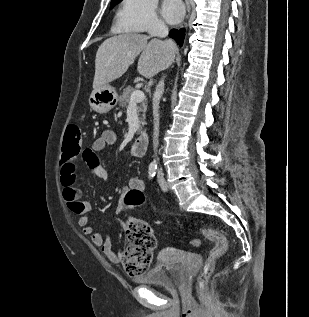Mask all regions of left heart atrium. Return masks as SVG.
I'll return each mask as SVG.
<instances>
[{
    "instance_id": "obj_1",
    "label": "left heart atrium",
    "mask_w": 309,
    "mask_h": 317,
    "mask_svg": "<svg viewBox=\"0 0 309 317\" xmlns=\"http://www.w3.org/2000/svg\"><path fill=\"white\" fill-rule=\"evenodd\" d=\"M184 5L181 0H163L162 15L167 22L175 24L184 16Z\"/></svg>"
}]
</instances>
